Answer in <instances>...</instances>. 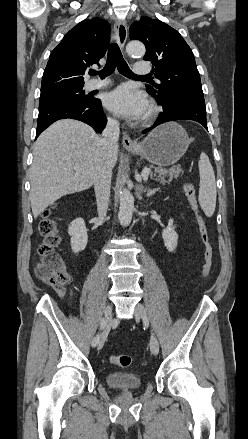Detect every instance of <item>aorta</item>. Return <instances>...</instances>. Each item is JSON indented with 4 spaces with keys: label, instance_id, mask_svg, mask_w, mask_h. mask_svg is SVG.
Instances as JSON below:
<instances>
[{
    "label": "aorta",
    "instance_id": "762f6f07",
    "mask_svg": "<svg viewBox=\"0 0 248 439\" xmlns=\"http://www.w3.org/2000/svg\"><path fill=\"white\" fill-rule=\"evenodd\" d=\"M126 51L131 56H143L145 54V46L139 41H131L126 46ZM134 211V197L132 193L124 188L120 192V206L118 212L119 222L123 226L130 224Z\"/></svg>",
    "mask_w": 248,
    "mask_h": 439
}]
</instances>
